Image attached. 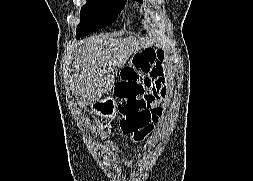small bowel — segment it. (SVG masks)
I'll list each match as a JSON object with an SVG mask.
<instances>
[{
  "label": "small bowel",
  "mask_w": 253,
  "mask_h": 181,
  "mask_svg": "<svg viewBox=\"0 0 253 181\" xmlns=\"http://www.w3.org/2000/svg\"><path fill=\"white\" fill-rule=\"evenodd\" d=\"M145 87L149 97H156L158 112L162 113V104L167 97V78L164 68L153 59L146 73Z\"/></svg>",
  "instance_id": "small-bowel-1"
}]
</instances>
